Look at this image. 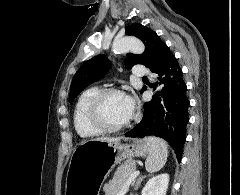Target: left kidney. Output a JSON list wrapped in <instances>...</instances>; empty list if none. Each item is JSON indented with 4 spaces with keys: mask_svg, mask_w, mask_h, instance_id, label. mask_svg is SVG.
Listing matches in <instances>:
<instances>
[{
    "mask_svg": "<svg viewBox=\"0 0 240 195\" xmlns=\"http://www.w3.org/2000/svg\"><path fill=\"white\" fill-rule=\"evenodd\" d=\"M169 183V173H159L151 177L142 189V195H166Z\"/></svg>",
    "mask_w": 240,
    "mask_h": 195,
    "instance_id": "left-kidney-1",
    "label": "left kidney"
}]
</instances>
